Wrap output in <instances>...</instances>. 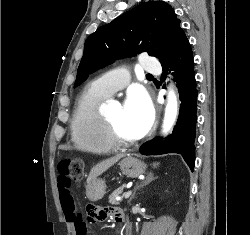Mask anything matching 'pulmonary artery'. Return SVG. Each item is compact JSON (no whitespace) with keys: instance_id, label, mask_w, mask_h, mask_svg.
<instances>
[{"instance_id":"e3ab8cb5","label":"pulmonary artery","mask_w":250,"mask_h":235,"mask_svg":"<svg viewBox=\"0 0 250 235\" xmlns=\"http://www.w3.org/2000/svg\"><path fill=\"white\" fill-rule=\"evenodd\" d=\"M140 65L148 73L160 72L157 60L148 54L140 60ZM128 81L129 76L126 71L116 70L97 78L92 83V86L94 89L108 96H112L118 90L123 89L127 85Z\"/></svg>"}]
</instances>
